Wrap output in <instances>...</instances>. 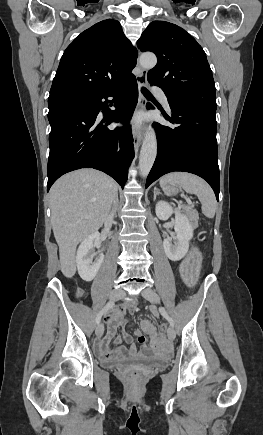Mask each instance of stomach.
<instances>
[{
  "mask_svg": "<svg viewBox=\"0 0 263 435\" xmlns=\"http://www.w3.org/2000/svg\"><path fill=\"white\" fill-rule=\"evenodd\" d=\"M162 190L166 195H173L177 194L180 190V187L173 183H167L162 186ZM192 246L198 245L197 239L191 240ZM182 271L181 274L183 276V282L186 283L187 288H196L197 283L199 282V275L195 274V271L193 269H196L199 267V262L196 260H183L182 262Z\"/></svg>",
  "mask_w": 263,
  "mask_h": 435,
  "instance_id": "obj_1",
  "label": "stomach"
}]
</instances>
